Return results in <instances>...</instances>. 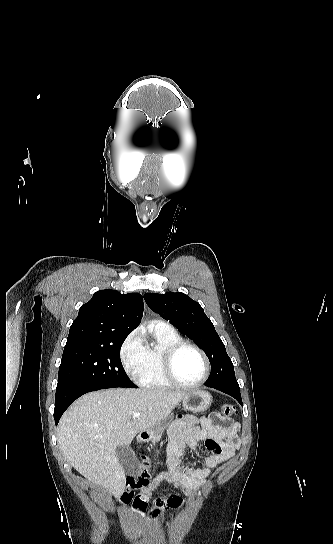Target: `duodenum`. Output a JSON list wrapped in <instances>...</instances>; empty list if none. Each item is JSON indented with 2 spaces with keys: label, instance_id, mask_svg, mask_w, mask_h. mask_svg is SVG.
Returning <instances> with one entry per match:
<instances>
[{
  "label": "duodenum",
  "instance_id": "obj_1",
  "mask_svg": "<svg viewBox=\"0 0 333 544\" xmlns=\"http://www.w3.org/2000/svg\"><path fill=\"white\" fill-rule=\"evenodd\" d=\"M146 438H147V434L146 433H141L137 437V442L142 443V442H144L146 440Z\"/></svg>",
  "mask_w": 333,
  "mask_h": 544
}]
</instances>
